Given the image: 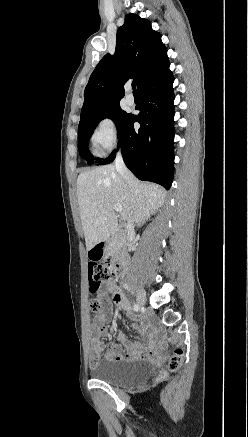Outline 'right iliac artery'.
Masks as SVG:
<instances>
[{"mask_svg":"<svg viewBox=\"0 0 248 437\" xmlns=\"http://www.w3.org/2000/svg\"><path fill=\"white\" fill-rule=\"evenodd\" d=\"M123 286H124L127 290H129V287L127 286V284H123ZM133 308H134L135 311H138V310H139V306H138V304L134 303Z\"/></svg>","mask_w":248,"mask_h":437,"instance_id":"82829eb1","label":"right iliac artery"}]
</instances>
